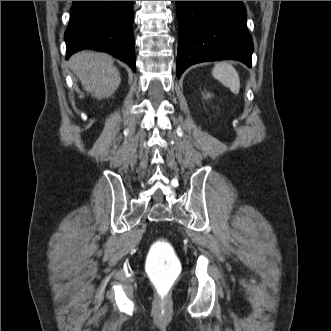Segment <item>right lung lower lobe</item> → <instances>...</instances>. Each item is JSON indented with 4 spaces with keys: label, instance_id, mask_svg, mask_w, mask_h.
<instances>
[{
    "label": "right lung lower lobe",
    "instance_id": "98d812e1",
    "mask_svg": "<svg viewBox=\"0 0 331 331\" xmlns=\"http://www.w3.org/2000/svg\"><path fill=\"white\" fill-rule=\"evenodd\" d=\"M133 1H73L65 32L68 59L82 49L112 54L135 71Z\"/></svg>",
    "mask_w": 331,
    "mask_h": 331
}]
</instances>
